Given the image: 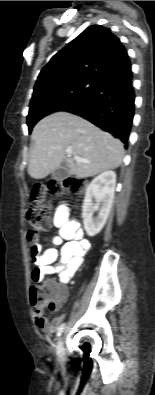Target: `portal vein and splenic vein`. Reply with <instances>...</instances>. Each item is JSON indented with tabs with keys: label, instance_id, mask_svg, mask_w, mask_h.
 <instances>
[{
	"label": "portal vein and splenic vein",
	"instance_id": "portal-vein-and-splenic-vein-1",
	"mask_svg": "<svg viewBox=\"0 0 155 395\" xmlns=\"http://www.w3.org/2000/svg\"><path fill=\"white\" fill-rule=\"evenodd\" d=\"M67 154H68V155H71V154H72V151H71V150H67ZM74 160H75L76 162H86L84 159H82V158H80V157H78V156H74Z\"/></svg>",
	"mask_w": 155,
	"mask_h": 395
}]
</instances>
